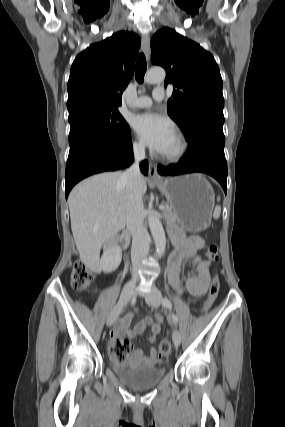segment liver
I'll return each instance as SVG.
<instances>
[{"label":"liver","mask_w":285,"mask_h":427,"mask_svg":"<svg viewBox=\"0 0 285 427\" xmlns=\"http://www.w3.org/2000/svg\"><path fill=\"white\" fill-rule=\"evenodd\" d=\"M142 194L147 190L141 177ZM71 229L81 261L91 269L99 267L103 244L125 227L126 183L121 172L92 176L70 192Z\"/></svg>","instance_id":"obj_1"}]
</instances>
